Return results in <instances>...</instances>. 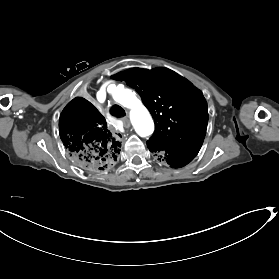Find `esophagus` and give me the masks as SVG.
I'll use <instances>...</instances> for the list:
<instances>
[{
  "label": "esophagus",
  "mask_w": 279,
  "mask_h": 279,
  "mask_svg": "<svg viewBox=\"0 0 279 279\" xmlns=\"http://www.w3.org/2000/svg\"><path fill=\"white\" fill-rule=\"evenodd\" d=\"M121 121L123 122L125 128H129L131 126L130 120L128 118L122 117Z\"/></svg>",
  "instance_id": "obj_1"
}]
</instances>
